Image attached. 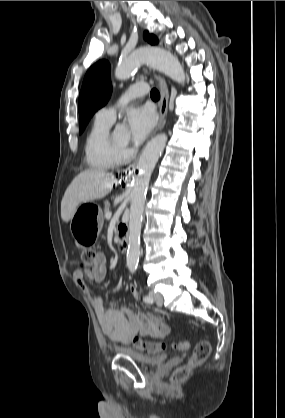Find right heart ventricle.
<instances>
[{
  "label": "right heart ventricle",
  "mask_w": 285,
  "mask_h": 418,
  "mask_svg": "<svg viewBox=\"0 0 285 418\" xmlns=\"http://www.w3.org/2000/svg\"><path fill=\"white\" fill-rule=\"evenodd\" d=\"M111 122L95 116L84 141V153L93 170H107L119 165L123 157L115 154L106 143Z\"/></svg>",
  "instance_id": "e07e8e85"
}]
</instances>
